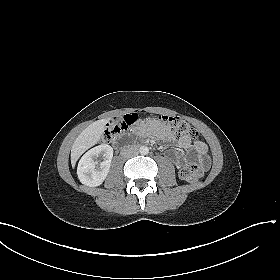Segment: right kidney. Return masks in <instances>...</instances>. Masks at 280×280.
Here are the masks:
<instances>
[{
  "label": "right kidney",
  "mask_w": 280,
  "mask_h": 280,
  "mask_svg": "<svg viewBox=\"0 0 280 280\" xmlns=\"http://www.w3.org/2000/svg\"><path fill=\"white\" fill-rule=\"evenodd\" d=\"M103 156L98 165L95 158ZM113 158V148L107 144L98 145L86 152L79 161L77 175L80 182L89 187L100 186L106 179Z\"/></svg>",
  "instance_id": "right-kidney-1"
}]
</instances>
